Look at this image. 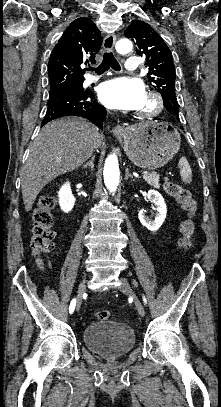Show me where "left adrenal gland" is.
I'll use <instances>...</instances> for the list:
<instances>
[{
  "mask_svg": "<svg viewBox=\"0 0 221 407\" xmlns=\"http://www.w3.org/2000/svg\"><path fill=\"white\" fill-rule=\"evenodd\" d=\"M128 178H133V175L129 173L128 168L125 170V180H128Z\"/></svg>",
  "mask_w": 221,
  "mask_h": 407,
  "instance_id": "left-adrenal-gland-1",
  "label": "left adrenal gland"
}]
</instances>
